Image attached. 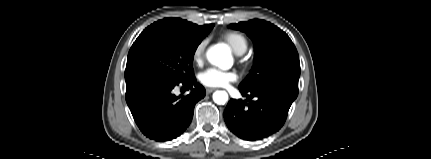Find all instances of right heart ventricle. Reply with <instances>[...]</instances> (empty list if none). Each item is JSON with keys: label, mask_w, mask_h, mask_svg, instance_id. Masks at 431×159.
Wrapping results in <instances>:
<instances>
[{"label": "right heart ventricle", "mask_w": 431, "mask_h": 159, "mask_svg": "<svg viewBox=\"0 0 431 159\" xmlns=\"http://www.w3.org/2000/svg\"><path fill=\"white\" fill-rule=\"evenodd\" d=\"M222 39L236 54H243L248 48L247 38L239 32H226L222 35Z\"/></svg>", "instance_id": "obj_1"}]
</instances>
